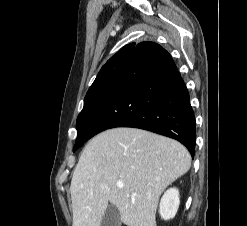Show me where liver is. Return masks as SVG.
I'll return each instance as SVG.
<instances>
[{"mask_svg":"<svg viewBox=\"0 0 247 226\" xmlns=\"http://www.w3.org/2000/svg\"><path fill=\"white\" fill-rule=\"evenodd\" d=\"M190 166L188 150L173 139L126 127L98 134L71 180L72 226H101L109 202L125 225L156 226L160 195Z\"/></svg>","mask_w":247,"mask_h":226,"instance_id":"obj_1","label":"liver"}]
</instances>
